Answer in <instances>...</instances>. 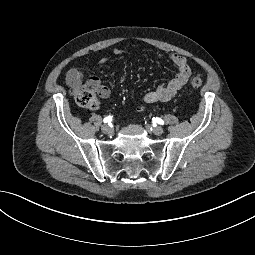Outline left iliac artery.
<instances>
[{
    "instance_id": "left-iliac-artery-1",
    "label": "left iliac artery",
    "mask_w": 255,
    "mask_h": 255,
    "mask_svg": "<svg viewBox=\"0 0 255 255\" xmlns=\"http://www.w3.org/2000/svg\"><path fill=\"white\" fill-rule=\"evenodd\" d=\"M153 122H157L160 125L164 124V121L162 119H160V118H153Z\"/></svg>"
}]
</instances>
